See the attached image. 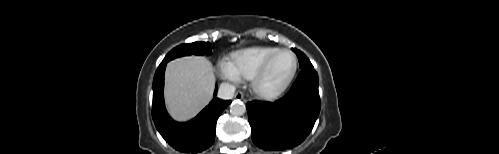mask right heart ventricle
<instances>
[{
    "instance_id": "1",
    "label": "right heart ventricle",
    "mask_w": 499,
    "mask_h": 154,
    "mask_svg": "<svg viewBox=\"0 0 499 154\" xmlns=\"http://www.w3.org/2000/svg\"><path fill=\"white\" fill-rule=\"evenodd\" d=\"M277 50L279 49L268 46L249 47L234 52L229 60L240 77L251 79L267 58Z\"/></svg>"
}]
</instances>
